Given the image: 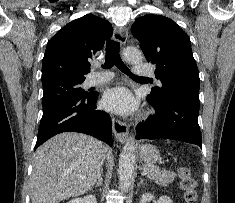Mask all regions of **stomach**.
<instances>
[{"label":"stomach","instance_id":"stomach-1","mask_svg":"<svg viewBox=\"0 0 235 203\" xmlns=\"http://www.w3.org/2000/svg\"><path fill=\"white\" fill-rule=\"evenodd\" d=\"M139 157L146 164H153L160 159V153L155 146L144 144L139 147Z\"/></svg>","mask_w":235,"mask_h":203}]
</instances>
